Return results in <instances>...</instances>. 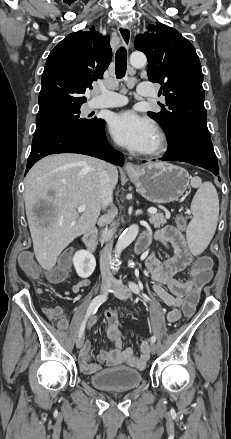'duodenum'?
Masks as SVG:
<instances>
[{
  "label": "duodenum",
  "mask_w": 231,
  "mask_h": 439,
  "mask_svg": "<svg viewBox=\"0 0 231 439\" xmlns=\"http://www.w3.org/2000/svg\"><path fill=\"white\" fill-rule=\"evenodd\" d=\"M83 242L87 248V250L91 253L96 251L97 247V231L95 228H91L87 230L83 235ZM147 246V242L145 239L140 238L135 245V252L141 253L145 250Z\"/></svg>",
  "instance_id": "1"
}]
</instances>
